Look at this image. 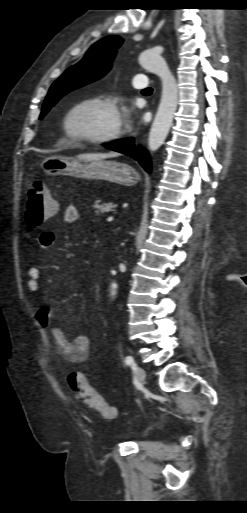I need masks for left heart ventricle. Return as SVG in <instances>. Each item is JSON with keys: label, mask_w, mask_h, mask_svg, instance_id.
<instances>
[{"label": "left heart ventricle", "mask_w": 247, "mask_h": 513, "mask_svg": "<svg viewBox=\"0 0 247 513\" xmlns=\"http://www.w3.org/2000/svg\"><path fill=\"white\" fill-rule=\"evenodd\" d=\"M118 120L114 110L105 106L89 105L79 108L72 115L70 127L76 133L97 136L112 131Z\"/></svg>", "instance_id": "obj_1"}]
</instances>
